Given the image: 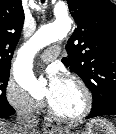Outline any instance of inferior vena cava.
<instances>
[{"label": "inferior vena cava", "mask_w": 116, "mask_h": 134, "mask_svg": "<svg viewBox=\"0 0 116 134\" xmlns=\"http://www.w3.org/2000/svg\"><path fill=\"white\" fill-rule=\"evenodd\" d=\"M17 129L19 134H29L37 125V118L30 110L19 111L17 114Z\"/></svg>", "instance_id": "inferior-vena-cava-1"}]
</instances>
